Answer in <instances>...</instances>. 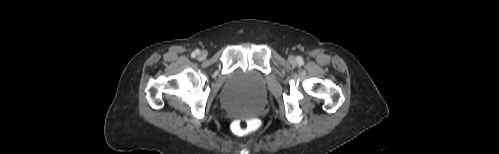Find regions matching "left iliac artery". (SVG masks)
<instances>
[{"instance_id":"1","label":"left iliac artery","mask_w":499,"mask_h":154,"mask_svg":"<svg viewBox=\"0 0 499 154\" xmlns=\"http://www.w3.org/2000/svg\"><path fill=\"white\" fill-rule=\"evenodd\" d=\"M297 62L301 64L303 62V59L300 56H298L297 57Z\"/></svg>"}]
</instances>
